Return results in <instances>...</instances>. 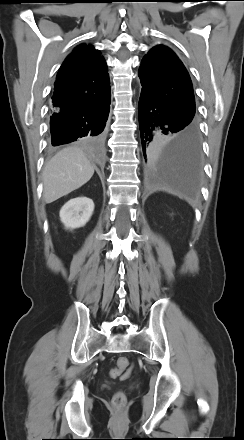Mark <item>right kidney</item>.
Instances as JSON below:
<instances>
[{
	"label": "right kidney",
	"mask_w": 244,
	"mask_h": 440,
	"mask_svg": "<svg viewBox=\"0 0 244 440\" xmlns=\"http://www.w3.org/2000/svg\"><path fill=\"white\" fill-rule=\"evenodd\" d=\"M94 211V203L88 197L70 199L60 210V219L66 228L76 229L86 225Z\"/></svg>",
	"instance_id": "1"
}]
</instances>
